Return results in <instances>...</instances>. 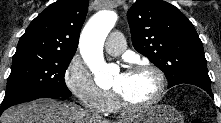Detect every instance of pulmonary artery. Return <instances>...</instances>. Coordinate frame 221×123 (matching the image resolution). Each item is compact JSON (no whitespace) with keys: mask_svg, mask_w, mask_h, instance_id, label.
I'll list each match as a JSON object with an SVG mask.
<instances>
[{"mask_svg":"<svg viewBox=\"0 0 221 123\" xmlns=\"http://www.w3.org/2000/svg\"><path fill=\"white\" fill-rule=\"evenodd\" d=\"M125 47V39L120 32L111 33L105 42V50L114 56L121 54Z\"/></svg>","mask_w":221,"mask_h":123,"instance_id":"obj_1","label":"pulmonary artery"}]
</instances>
